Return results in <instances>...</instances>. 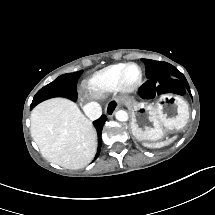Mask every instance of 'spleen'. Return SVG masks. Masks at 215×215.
<instances>
[{"instance_id":"3e777b00","label":"spleen","mask_w":215,"mask_h":215,"mask_svg":"<svg viewBox=\"0 0 215 215\" xmlns=\"http://www.w3.org/2000/svg\"><path fill=\"white\" fill-rule=\"evenodd\" d=\"M177 138V136H174L172 138H170L169 140L167 141H163V142H159V143H144L143 145L145 147H149V148H161L163 146H166V145H169L170 143H172L175 139Z\"/></svg>"}]
</instances>
